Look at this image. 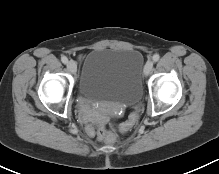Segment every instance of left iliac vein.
<instances>
[{"label":"left iliac vein","instance_id":"1","mask_svg":"<svg viewBox=\"0 0 219 174\" xmlns=\"http://www.w3.org/2000/svg\"><path fill=\"white\" fill-rule=\"evenodd\" d=\"M153 69V62L152 61H147L145 66H144V75L148 76Z\"/></svg>","mask_w":219,"mask_h":174}]
</instances>
